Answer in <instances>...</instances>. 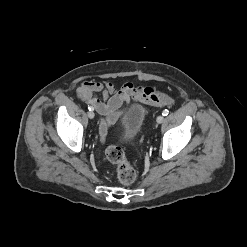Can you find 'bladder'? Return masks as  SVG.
<instances>
[{
  "mask_svg": "<svg viewBox=\"0 0 247 247\" xmlns=\"http://www.w3.org/2000/svg\"><path fill=\"white\" fill-rule=\"evenodd\" d=\"M146 116L143 106L135 104L130 106L122 114L120 125L123 131V138L132 141L140 132Z\"/></svg>",
  "mask_w": 247,
  "mask_h": 247,
  "instance_id": "obj_1",
  "label": "bladder"
}]
</instances>
